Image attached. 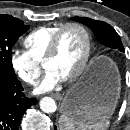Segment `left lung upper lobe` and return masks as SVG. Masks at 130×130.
Returning a JSON list of instances; mask_svg holds the SVG:
<instances>
[{
	"label": "left lung upper lobe",
	"mask_w": 130,
	"mask_h": 130,
	"mask_svg": "<svg viewBox=\"0 0 130 130\" xmlns=\"http://www.w3.org/2000/svg\"><path fill=\"white\" fill-rule=\"evenodd\" d=\"M72 20L88 26L94 32L101 44L124 52V47L120 37L111 25L86 17H73Z\"/></svg>",
	"instance_id": "1"
}]
</instances>
